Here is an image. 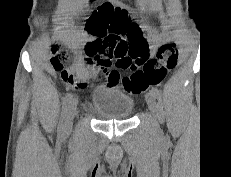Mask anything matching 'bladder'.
<instances>
[{"mask_svg":"<svg viewBox=\"0 0 231 177\" xmlns=\"http://www.w3.org/2000/svg\"><path fill=\"white\" fill-rule=\"evenodd\" d=\"M91 105L95 113L104 120H127L134 110V101L130 96L104 86L94 90Z\"/></svg>","mask_w":231,"mask_h":177,"instance_id":"31cf9c89","label":"bladder"}]
</instances>
